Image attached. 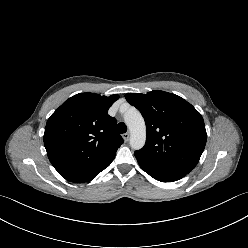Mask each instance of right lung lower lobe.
Instances as JSON below:
<instances>
[{
    "label": "right lung lower lobe",
    "instance_id": "98d812e1",
    "mask_svg": "<svg viewBox=\"0 0 248 248\" xmlns=\"http://www.w3.org/2000/svg\"><path fill=\"white\" fill-rule=\"evenodd\" d=\"M116 154H113L97 163L86 166H55L58 173L66 180L74 183L89 182L98 173L107 168L113 161Z\"/></svg>",
    "mask_w": 248,
    "mask_h": 248
}]
</instances>
